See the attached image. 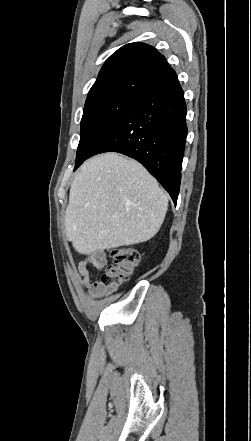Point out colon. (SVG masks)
Instances as JSON below:
<instances>
[{"label": "colon", "mask_w": 251, "mask_h": 441, "mask_svg": "<svg viewBox=\"0 0 251 441\" xmlns=\"http://www.w3.org/2000/svg\"><path fill=\"white\" fill-rule=\"evenodd\" d=\"M111 258L101 277V283L116 287L129 280L135 273L140 262V254L134 248L122 246L111 251Z\"/></svg>", "instance_id": "colon-1"}]
</instances>
